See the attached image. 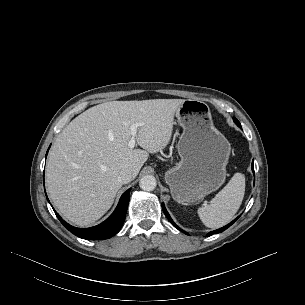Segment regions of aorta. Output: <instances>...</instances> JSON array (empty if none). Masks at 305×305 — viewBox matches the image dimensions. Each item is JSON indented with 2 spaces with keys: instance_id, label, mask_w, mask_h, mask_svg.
<instances>
[{
  "instance_id": "aorta-1",
  "label": "aorta",
  "mask_w": 305,
  "mask_h": 305,
  "mask_svg": "<svg viewBox=\"0 0 305 305\" xmlns=\"http://www.w3.org/2000/svg\"><path fill=\"white\" fill-rule=\"evenodd\" d=\"M157 182L154 176L145 175L140 179L139 186L144 191H153L156 188Z\"/></svg>"
}]
</instances>
